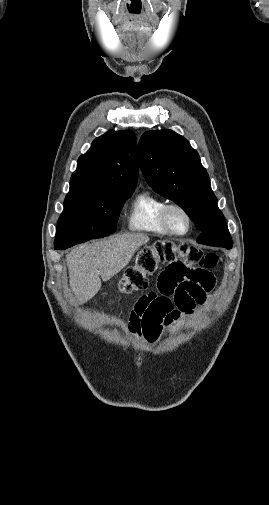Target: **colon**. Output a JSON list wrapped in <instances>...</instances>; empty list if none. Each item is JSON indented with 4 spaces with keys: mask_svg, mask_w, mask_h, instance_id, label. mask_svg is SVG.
<instances>
[{
    "mask_svg": "<svg viewBox=\"0 0 269 505\" xmlns=\"http://www.w3.org/2000/svg\"><path fill=\"white\" fill-rule=\"evenodd\" d=\"M171 259L190 261L193 264L190 268L213 269L219 262V256L216 253H204L201 249L193 246L155 243L139 251L135 264L125 271L124 277L120 282L121 291L129 294L144 290L148 285V276L153 274L159 265L164 263L169 264ZM213 281L215 282V280ZM147 298L149 297L147 296ZM177 301L179 302L180 300Z\"/></svg>",
    "mask_w": 269,
    "mask_h": 505,
    "instance_id": "obj_1",
    "label": "colon"
}]
</instances>
